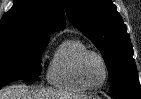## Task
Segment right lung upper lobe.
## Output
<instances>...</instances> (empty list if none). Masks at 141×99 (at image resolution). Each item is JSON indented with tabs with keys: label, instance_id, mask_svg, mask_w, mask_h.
I'll return each instance as SVG.
<instances>
[{
	"label": "right lung upper lobe",
	"instance_id": "right-lung-upper-lobe-1",
	"mask_svg": "<svg viewBox=\"0 0 141 99\" xmlns=\"http://www.w3.org/2000/svg\"><path fill=\"white\" fill-rule=\"evenodd\" d=\"M61 0H14L0 22V36H27L48 41L65 27Z\"/></svg>",
	"mask_w": 141,
	"mask_h": 99
}]
</instances>
